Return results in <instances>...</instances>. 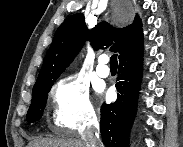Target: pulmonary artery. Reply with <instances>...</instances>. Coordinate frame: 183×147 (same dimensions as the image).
I'll return each mask as SVG.
<instances>
[{
	"instance_id": "1",
	"label": "pulmonary artery",
	"mask_w": 183,
	"mask_h": 147,
	"mask_svg": "<svg viewBox=\"0 0 183 147\" xmlns=\"http://www.w3.org/2000/svg\"><path fill=\"white\" fill-rule=\"evenodd\" d=\"M108 63V56L107 55H101L98 59V65L96 67V72L100 77H107L110 74V69L107 66Z\"/></svg>"
}]
</instances>
